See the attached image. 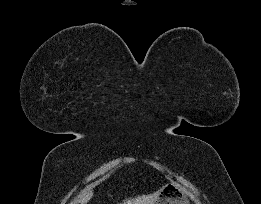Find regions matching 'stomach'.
I'll list each match as a JSON object with an SVG mask.
<instances>
[{
  "label": "stomach",
  "instance_id": "1",
  "mask_svg": "<svg viewBox=\"0 0 261 204\" xmlns=\"http://www.w3.org/2000/svg\"><path fill=\"white\" fill-rule=\"evenodd\" d=\"M153 204H190L187 197L180 194V188L175 183L162 187L157 200Z\"/></svg>",
  "mask_w": 261,
  "mask_h": 204
}]
</instances>
